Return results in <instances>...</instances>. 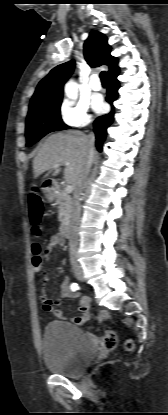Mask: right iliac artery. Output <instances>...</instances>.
Segmentation results:
<instances>
[{
	"label": "right iliac artery",
	"instance_id": "right-iliac-artery-1",
	"mask_svg": "<svg viewBox=\"0 0 168 415\" xmlns=\"http://www.w3.org/2000/svg\"><path fill=\"white\" fill-rule=\"evenodd\" d=\"M70 287L72 291H77L79 289V286L77 283H72Z\"/></svg>",
	"mask_w": 168,
	"mask_h": 415
}]
</instances>
